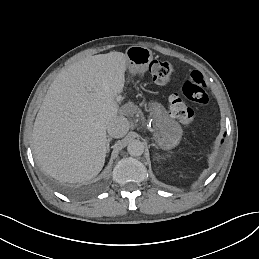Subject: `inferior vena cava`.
<instances>
[{"label":"inferior vena cava","mask_w":259,"mask_h":259,"mask_svg":"<svg viewBox=\"0 0 259 259\" xmlns=\"http://www.w3.org/2000/svg\"><path fill=\"white\" fill-rule=\"evenodd\" d=\"M129 122L124 116H117L107 126L108 134L113 138H121L127 134Z\"/></svg>","instance_id":"602c4592"}]
</instances>
